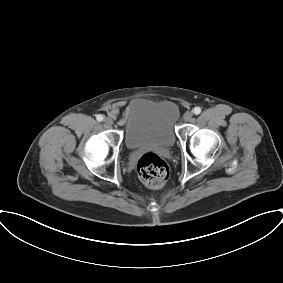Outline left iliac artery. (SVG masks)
I'll return each mask as SVG.
<instances>
[{
  "instance_id": "left-iliac-artery-1",
  "label": "left iliac artery",
  "mask_w": 283,
  "mask_h": 283,
  "mask_svg": "<svg viewBox=\"0 0 283 283\" xmlns=\"http://www.w3.org/2000/svg\"><path fill=\"white\" fill-rule=\"evenodd\" d=\"M193 112H194L195 115H198V114L201 113V108L200 107H195Z\"/></svg>"
}]
</instances>
